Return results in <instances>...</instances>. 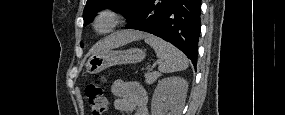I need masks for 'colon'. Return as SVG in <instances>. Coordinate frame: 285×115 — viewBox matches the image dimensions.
<instances>
[{
  "instance_id": "1",
  "label": "colon",
  "mask_w": 285,
  "mask_h": 115,
  "mask_svg": "<svg viewBox=\"0 0 285 115\" xmlns=\"http://www.w3.org/2000/svg\"><path fill=\"white\" fill-rule=\"evenodd\" d=\"M103 78L89 83L85 88V94L92 115H103L107 109V100L102 87Z\"/></svg>"
}]
</instances>
